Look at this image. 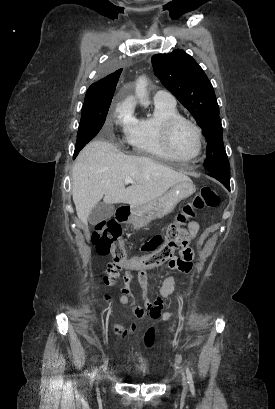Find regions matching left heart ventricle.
<instances>
[{"instance_id":"obj_1","label":"left heart ventricle","mask_w":275,"mask_h":409,"mask_svg":"<svg viewBox=\"0 0 275 409\" xmlns=\"http://www.w3.org/2000/svg\"><path fill=\"white\" fill-rule=\"evenodd\" d=\"M173 150L178 157H191L196 152L197 143L194 132L187 124L176 128L172 140Z\"/></svg>"}]
</instances>
